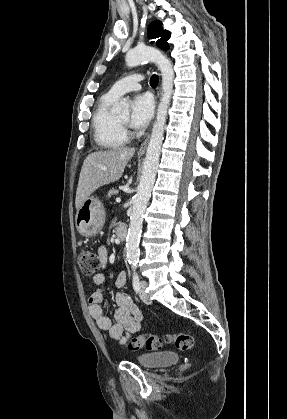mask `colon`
<instances>
[{
  "instance_id": "obj_1",
  "label": "colon",
  "mask_w": 287,
  "mask_h": 419,
  "mask_svg": "<svg viewBox=\"0 0 287 419\" xmlns=\"http://www.w3.org/2000/svg\"><path fill=\"white\" fill-rule=\"evenodd\" d=\"M81 272L85 276L95 274L101 265L100 258L90 250H82L78 256ZM172 343L181 351H189L193 347V338L185 333H174L165 337L158 335L136 336L125 341L124 346L131 351H138L142 348L148 350H158L163 344Z\"/></svg>"
}]
</instances>
